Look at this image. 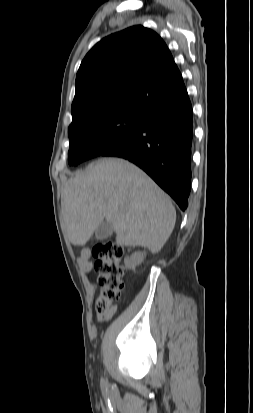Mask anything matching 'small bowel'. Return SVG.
<instances>
[{
  "label": "small bowel",
  "instance_id": "small-bowel-1",
  "mask_svg": "<svg viewBox=\"0 0 253 413\" xmlns=\"http://www.w3.org/2000/svg\"><path fill=\"white\" fill-rule=\"evenodd\" d=\"M78 265L80 269L89 273L92 270V263L90 261V251L88 249H83L78 257ZM117 311V306H113L110 310L103 314L97 315V321L99 323L108 322Z\"/></svg>",
  "mask_w": 253,
  "mask_h": 413
}]
</instances>
